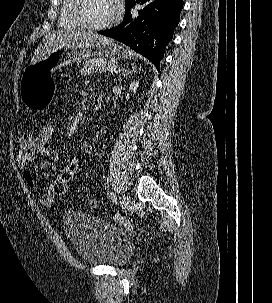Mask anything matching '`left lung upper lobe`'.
Here are the masks:
<instances>
[{
    "label": "left lung upper lobe",
    "mask_w": 272,
    "mask_h": 303,
    "mask_svg": "<svg viewBox=\"0 0 272 303\" xmlns=\"http://www.w3.org/2000/svg\"><path fill=\"white\" fill-rule=\"evenodd\" d=\"M133 0H126V5L128 6Z\"/></svg>",
    "instance_id": "obj_1"
}]
</instances>
